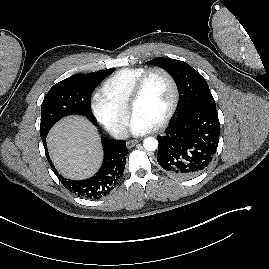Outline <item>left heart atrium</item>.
Instances as JSON below:
<instances>
[{
	"label": "left heart atrium",
	"instance_id": "obj_1",
	"mask_svg": "<svg viewBox=\"0 0 269 269\" xmlns=\"http://www.w3.org/2000/svg\"><path fill=\"white\" fill-rule=\"evenodd\" d=\"M153 125L150 124L149 122L145 121L144 119L133 115L130 121V132L134 135H141L144 133L149 132L150 130L153 129Z\"/></svg>",
	"mask_w": 269,
	"mask_h": 269
}]
</instances>
